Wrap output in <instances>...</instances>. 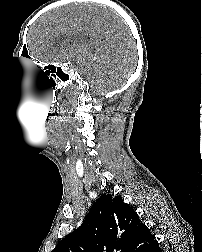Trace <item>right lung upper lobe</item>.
<instances>
[{
    "label": "right lung upper lobe",
    "mask_w": 202,
    "mask_h": 252,
    "mask_svg": "<svg viewBox=\"0 0 202 252\" xmlns=\"http://www.w3.org/2000/svg\"><path fill=\"white\" fill-rule=\"evenodd\" d=\"M157 244L132 206L120 196L103 195L52 252H151Z\"/></svg>",
    "instance_id": "cb5924a9"
}]
</instances>
